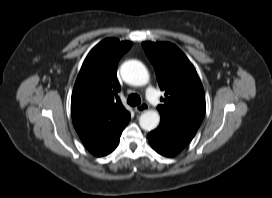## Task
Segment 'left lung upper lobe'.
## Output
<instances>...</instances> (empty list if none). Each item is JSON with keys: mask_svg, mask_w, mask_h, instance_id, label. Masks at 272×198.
Wrapping results in <instances>:
<instances>
[{"mask_svg": "<svg viewBox=\"0 0 272 198\" xmlns=\"http://www.w3.org/2000/svg\"><path fill=\"white\" fill-rule=\"evenodd\" d=\"M164 92L157 108L161 119L197 130L205 115V94L197 72L185 54L168 42H143Z\"/></svg>", "mask_w": 272, "mask_h": 198, "instance_id": "1", "label": "left lung upper lobe"}]
</instances>
